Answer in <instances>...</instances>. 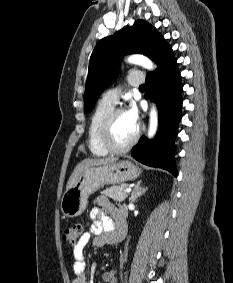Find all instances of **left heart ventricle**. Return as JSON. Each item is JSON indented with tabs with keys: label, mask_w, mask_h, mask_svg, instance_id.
Instances as JSON below:
<instances>
[{
	"label": "left heart ventricle",
	"mask_w": 233,
	"mask_h": 283,
	"mask_svg": "<svg viewBox=\"0 0 233 283\" xmlns=\"http://www.w3.org/2000/svg\"><path fill=\"white\" fill-rule=\"evenodd\" d=\"M137 124H135L128 114L125 112L120 113L113 124L111 139L114 145L124 146L134 136Z\"/></svg>",
	"instance_id": "left-heart-ventricle-1"
}]
</instances>
